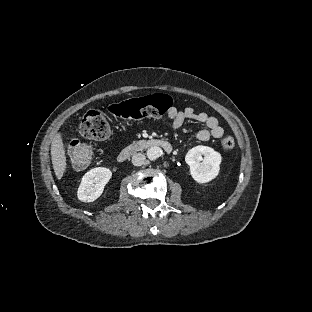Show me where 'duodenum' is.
I'll return each mask as SVG.
<instances>
[{
  "label": "duodenum",
  "mask_w": 312,
  "mask_h": 312,
  "mask_svg": "<svg viewBox=\"0 0 312 312\" xmlns=\"http://www.w3.org/2000/svg\"><path fill=\"white\" fill-rule=\"evenodd\" d=\"M150 147H160L167 153L174 151V146L171 142L162 138H150L136 144H130L124 147L118 155V160L123 162L130 158L134 153L148 149Z\"/></svg>",
  "instance_id": "obj_1"
}]
</instances>
